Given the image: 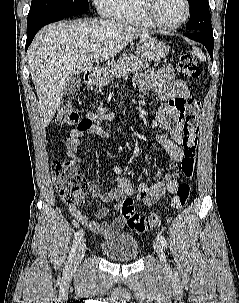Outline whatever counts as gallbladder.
Instances as JSON below:
<instances>
[{
    "instance_id": "1",
    "label": "gallbladder",
    "mask_w": 239,
    "mask_h": 303,
    "mask_svg": "<svg viewBox=\"0 0 239 303\" xmlns=\"http://www.w3.org/2000/svg\"><path fill=\"white\" fill-rule=\"evenodd\" d=\"M81 87V78L78 74L69 75L67 78L64 94L71 96Z\"/></svg>"
}]
</instances>
